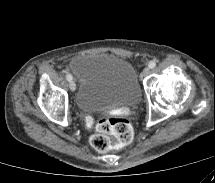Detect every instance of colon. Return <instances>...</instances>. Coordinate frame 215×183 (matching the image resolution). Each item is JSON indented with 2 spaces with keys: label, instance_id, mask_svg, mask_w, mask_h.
<instances>
[{
  "label": "colon",
  "instance_id": "5ec220e1",
  "mask_svg": "<svg viewBox=\"0 0 215 183\" xmlns=\"http://www.w3.org/2000/svg\"><path fill=\"white\" fill-rule=\"evenodd\" d=\"M128 114L127 109H122L119 115L100 118L96 122L97 133L90 138L92 147L99 152H107L112 149L113 145L109 135L117 138L118 148L127 146L133 139V129L127 118Z\"/></svg>",
  "mask_w": 215,
  "mask_h": 183
}]
</instances>
